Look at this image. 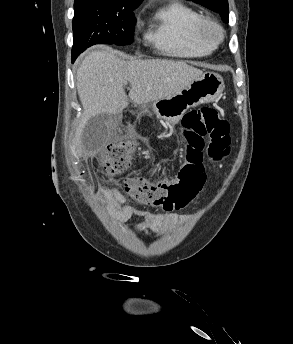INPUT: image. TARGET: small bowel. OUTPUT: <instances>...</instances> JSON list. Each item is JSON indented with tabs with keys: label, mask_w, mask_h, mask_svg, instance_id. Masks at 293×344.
<instances>
[{
	"label": "small bowel",
	"mask_w": 293,
	"mask_h": 344,
	"mask_svg": "<svg viewBox=\"0 0 293 344\" xmlns=\"http://www.w3.org/2000/svg\"><path fill=\"white\" fill-rule=\"evenodd\" d=\"M195 177L201 185H204L206 181L204 165L196 167ZM102 193L106 197L108 214L112 220L125 223L133 216L144 218V222L134 228L136 233L162 234L174 226L179 219V216L172 212H151L129 204L126 196L116 187L103 188Z\"/></svg>",
	"instance_id": "small-bowel-1"
}]
</instances>
